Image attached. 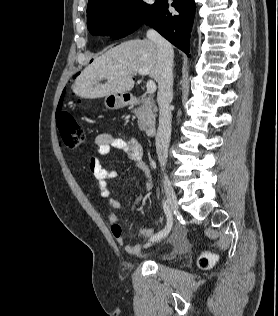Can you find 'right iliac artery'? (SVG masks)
Returning a JSON list of instances; mask_svg holds the SVG:
<instances>
[{
    "instance_id": "82829eb1",
    "label": "right iliac artery",
    "mask_w": 278,
    "mask_h": 316,
    "mask_svg": "<svg viewBox=\"0 0 278 316\" xmlns=\"http://www.w3.org/2000/svg\"><path fill=\"white\" fill-rule=\"evenodd\" d=\"M163 209L167 217V225L162 231L158 232L153 237H151L150 239L151 241L160 240L161 238L165 237L171 230L173 222H172L171 213H170L169 207L167 206L166 201L163 202Z\"/></svg>"
}]
</instances>
